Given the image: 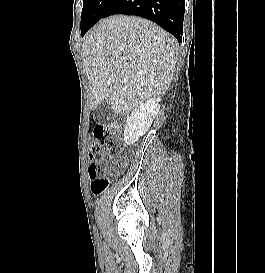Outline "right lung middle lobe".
Returning <instances> with one entry per match:
<instances>
[{"label":"right lung middle lobe","mask_w":265,"mask_h":273,"mask_svg":"<svg viewBox=\"0 0 265 273\" xmlns=\"http://www.w3.org/2000/svg\"><path fill=\"white\" fill-rule=\"evenodd\" d=\"M115 0H83L81 35L83 36L104 14Z\"/></svg>","instance_id":"obj_1"}]
</instances>
